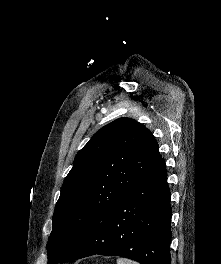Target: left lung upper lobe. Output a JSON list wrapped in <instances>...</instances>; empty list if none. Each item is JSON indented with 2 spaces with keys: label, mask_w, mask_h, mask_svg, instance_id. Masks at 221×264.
I'll list each match as a JSON object with an SVG mask.
<instances>
[{
  "label": "left lung upper lobe",
  "mask_w": 221,
  "mask_h": 264,
  "mask_svg": "<svg viewBox=\"0 0 221 264\" xmlns=\"http://www.w3.org/2000/svg\"><path fill=\"white\" fill-rule=\"evenodd\" d=\"M151 131L131 118L101 128L77 153L53 214L48 264L68 256L161 160Z\"/></svg>",
  "instance_id": "1"
}]
</instances>
